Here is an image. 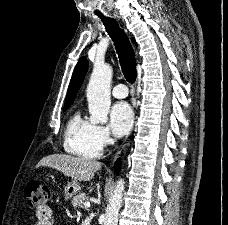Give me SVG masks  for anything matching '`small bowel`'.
Masks as SVG:
<instances>
[{"mask_svg": "<svg viewBox=\"0 0 228 225\" xmlns=\"http://www.w3.org/2000/svg\"><path fill=\"white\" fill-rule=\"evenodd\" d=\"M36 225H53L52 223V211L50 207L45 206L42 209L36 211Z\"/></svg>", "mask_w": 228, "mask_h": 225, "instance_id": "small-bowel-1", "label": "small bowel"}]
</instances>
